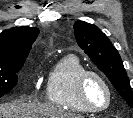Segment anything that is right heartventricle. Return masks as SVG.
<instances>
[{
	"instance_id": "obj_1",
	"label": "right heart ventricle",
	"mask_w": 133,
	"mask_h": 118,
	"mask_svg": "<svg viewBox=\"0 0 133 118\" xmlns=\"http://www.w3.org/2000/svg\"><path fill=\"white\" fill-rule=\"evenodd\" d=\"M86 70V66L76 55L69 54L60 58L47 78V100L76 113H88L78 95V81Z\"/></svg>"
}]
</instances>
